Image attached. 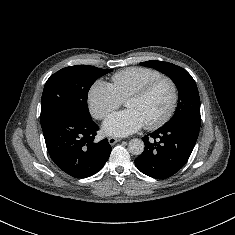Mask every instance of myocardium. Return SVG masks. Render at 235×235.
I'll use <instances>...</instances> for the list:
<instances>
[{
  "mask_svg": "<svg viewBox=\"0 0 235 235\" xmlns=\"http://www.w3.org/2000/svg\"><path fill=\"white\" fill-rule=\"evenodd\" d=\"M161 83H166L169 85L172 95L171 103L167 111L160 118H158L153 122L145 124V127L147 129H156L165 124L173 116L179 100V92L176 83L169 77L160 76L152 80L151 82L147 83L143 87L139 88L138 90L134 91L126 98V100L144 98L147 95H149Z\"/></svg>",
  "mask_w": 235,
  "mask_h": 235,
  "instance_id": "myocardium-1",
  "label": "myocardium"
}]
</instances>
